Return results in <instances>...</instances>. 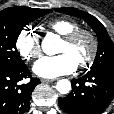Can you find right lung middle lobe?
<instances>
[{
	"label": "right lung middle lobe",
	"instance_id": "right-lung-middle-lobe-1",
	"mask_svg": "<svg viewBox=\"0 0 114 114\" xmlns=\"http://www.w3.org/2000/svg\"><path fill=\"white\" fill-rule=\"evenodd\" d=\"M50 12L51 9L36 8L17 14L0 12V71H10L24 65L16 49L17 38L26 24Z\"/></svg>",
	"mask_w": 114,
	"mask_h": 114
}]
</instances>
